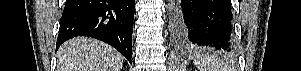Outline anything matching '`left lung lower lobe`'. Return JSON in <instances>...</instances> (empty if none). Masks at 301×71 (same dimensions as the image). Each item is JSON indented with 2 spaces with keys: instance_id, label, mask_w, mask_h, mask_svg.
<instances>
[{
  "instance_id": "left-lung-lower-lobe-1",
  "label": "left lung lower lobe",
  "mask_w": 301,
  "mask_h": 71,
  "mask_svg": "<svg viewBox=\"0 0 301 71\" xmlns=\"http://www.w3.org/2000/svg\"><path fill=\"white\" fill-rule=\"evenodd\" d=\"M169 7L176 43L193 48L234 49L230 0H171Z\"/></svg>"
}]
</instances>
